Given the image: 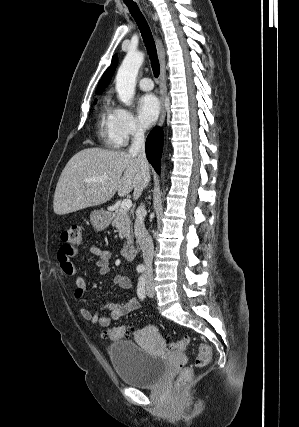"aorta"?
Instances as JSON below:
<instances>
[{"mask_svg": "<svg viewBox=\"0 0 299 427\" xmlns=\"http://www.w3.org/2000/svg\"><path fill=\"white\" fill-rule=\"evenodd\" d=\"M144 61V54L139 51H129L125 56L116 75V91L119 99L130 106L135 94L136 77Z\"/></svg>", "mask_w": 299, "mask_h": 427, "instance_id": "obj_1", "label": "aorta"}]
</instances>
